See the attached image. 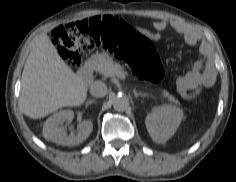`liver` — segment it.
Listing matches in <instances>:
<instances>
[{
    "label": "liver",
    "mask_w": 236,
    "mask_h": 182,
    "mask_svg": "<svg viewBox=\"0 0 236 182\" xmlns=\"http://www.w3.org/2000/svg\"><path fill=\"white\" fill-rule=\"evenodd\" d=\"M87 84L58 54L50 37L42 35L32 48L22 72L20 108L32 118H43L62 107H77L87 98Z\"/></svg>",
    "instance_id": "obj_1"
}]
</instances>
